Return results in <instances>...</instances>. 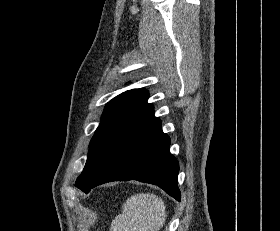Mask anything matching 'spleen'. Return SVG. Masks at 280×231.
<instances>
[{
	"label": "spleen",
	"mask_w": 280,
	"mask_h": 231,
	"mask_svg": "<svg viewBox=\"0 0 280 231\" xmlns=\"http://www.w3.org/2000/svg\"><path fill=\"white\" fill-rule=\"evenodd\" d=\"M166 219V205L155 193H135L126 199L110 231H159Z\"/></svg>",
	"instance_id": "spleen-1"
}]
</instances>
